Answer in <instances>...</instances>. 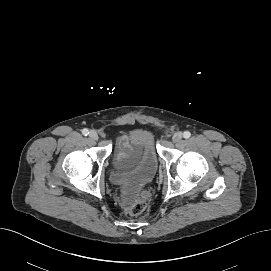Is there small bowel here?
I'll return each mask as SVG.
<instances>
[{
    "instance_id": "obj_1",
    "label": "small bowel",
    "mask_w": 271,
    "mask_h": 271,
    "mask_svg": "<svg viewBox=\"0 0 271 271\" xmlns=\"http://www.w3.org/2000/svg\"><path fill=\"white\" fill-rule=\"evenodd\" d=\"M118 156L119 158H125L129 156L131 152L130 141L127 136L123 135L117 140Z\"/></svg>"
}]
</instances>
